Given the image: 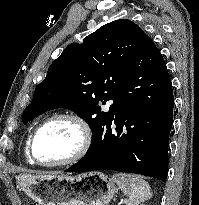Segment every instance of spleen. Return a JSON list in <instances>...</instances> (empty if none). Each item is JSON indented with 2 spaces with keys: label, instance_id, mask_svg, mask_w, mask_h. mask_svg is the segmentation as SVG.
<instances>
[{
  "label": "spleen",
  "instance_id": "spleen-1",
  "mask_svg": "<svg viewBox=\"0 0 199 205\" xmlns=\"http://www.w3.org/2000/svg\"><path fill=\"white\" fill-rule=\"evenodd\" d=\"M112 180L117 183L119 188L127 196V205H138L152 196V190L149 184L143 178L126 174L116 173L112 176Z\"/></svg>",
  "mask_w": 199,
  "mask_h": 205
}]
</instances>
